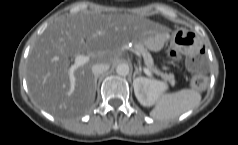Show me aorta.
Returning <instances> with one entry per match:
<instances>
[{"label": "aorta", "instance_id": "obj_1", "mask_svg": "<svg viewBox=\"0 0 238 145\" xmlns=\"http://www.w3.org/2000/svg\"><path fill=\"white\" fill-rule=\"evenodd\" d=\"M130 68L126 63H120L116 67V73L120 76H127L129 74Z\"/></svg>", "mask_w": 238, "mask_h": 145}]
</instances>
